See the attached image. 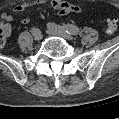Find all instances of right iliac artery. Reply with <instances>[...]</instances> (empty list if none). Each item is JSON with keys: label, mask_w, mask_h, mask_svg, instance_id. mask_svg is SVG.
Segmentation results:
<instances>
[{"label": "right iliac artery", "mask_w": 119, "mask_h": 119, "mask_svg": "<svg viewBox=\"0 0 119 119\" xmlns=\"http://www.w3.org/2000/svg\"><path fill=\"white\" fill-rule=\"evenodd\" d=\"M30 34L33 37H37L40 34V31L37 28H32V30L30 31Z\"/></svg>", "instance_id": "1"}]
</instances>
